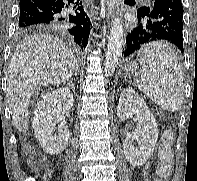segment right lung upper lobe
I'll list each match as a JSON object with an SVG mask.
<instances>
[{"label":"right lung upper lobe","mask_w":197,"mask_h":181,"mask_svg":"<svg viewBox=\"0 0 197 181\" xmlns=\"http://www.w3.org/2000/svg\"><path fill=\"white\" fill-rule=\"evenodd\" d=\"M32 29H36V28H22V29H20V31H29V30H32Z\"/></svg>","instance_id":"1"}]
</instances>
